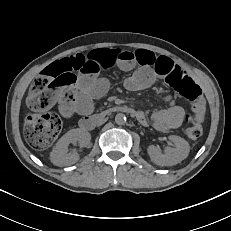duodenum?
Instances as JSON below:
<instances>
[{"mask_svg":"<svg viewBox=\"0 0 231 231\" xmlns=\"http://www.w3.org/2000/svg\"><path fill=\"white\" fill-rule=\"evenodd\" d=\"M118 112L129 114V115H131L137 119L142 116L141 112H139V111H137V110H135L129 106L119 105V106H114L107 111L97 113V114L87 115V116L83 117L80 120L79 127L83 131H90V130L94 129L96 125H98V122L101 121V119L103 117H106V116H109L113 113H118Z\"/></svg>","mask_w":231,"mask_h":231,"instance_id":"obj_1","label":"duodenum"}]
</instances>
